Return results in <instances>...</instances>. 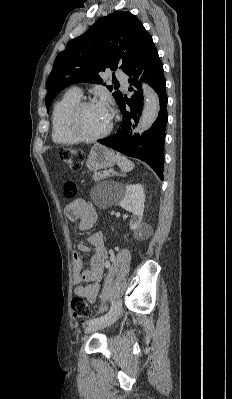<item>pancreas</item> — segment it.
<instances>
[{
  "label": "pancreas",
  "instance_id": "cf45deb5",
  "mask_svg": "<svg viewBox=\"0 0 232 399\" xmlns=\"http://www.w3.org/2000/svg\"><path fill=\"white\" fill-rule=\"evenodd\" d=\"M105 174H102V172H94L92 178L94 182H99V180H105Z\"/></svg>",
  "mask_w": 232,
  "mask_h": 399
}]
</instances>
